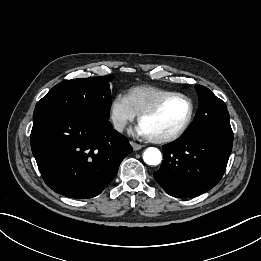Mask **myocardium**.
<instances>
[{"instance_id": "1", "label": "myocardium", "mask_w": 261, "mask_h": 261, "mask_svg": "<svg viewBox=\"0 0 261 261\" xmlns=\"http://www.w3.org/2000/svg\"><path fill=\"white\" fill-rule=\"evenodd\" d=\"M171 98H181V99H184L188 103L189 112H188L187 118L176 131H174L168 135L159 136V137H154V136L148 135V138L151 142L162 144V143H169V142L175 141L176 139L180 138L187 131V129L189 128V126L193 120L195 108H194V103L191 100V98L184 94H181V93H172L171 92V93L161 97L158 101H156L154 104H152L148 108L141 111L138 114V122L141 124V121L144 117L155 114L163 106V104Z\"/></svg>"}]
</instances>
